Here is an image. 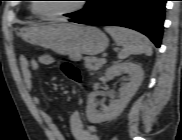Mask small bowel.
Listing matches in <instances>:
<instances>
[{
	"label": "small bowel",
	"mask_w": 182,
	"mask_h": 140,
	"mask_svg": "<svg viewBox=\"0 0 182 140\" xmlns=\"http://www.w3.org/2000/svg\"><path fill=\"white\" fill-rule=\"evenodd\" d=\"M54 63L55 59L48 54H43L37 59L31 60L20 57L19 69L25 87L29 90L33 88V72L38 71L41 65L48 66ZM32 100L36 105H40L41 103L39 96H33ZM41 117L48 129L51 140H65L63 134L54 122L53 117L49 113L42 111ZM69 126L75 140H99L96 128L93 126H85L81 114L78 111H74L70 115Z\"/></svg>",
	"instance_id": "c3829d8e"
}]
</instances>
